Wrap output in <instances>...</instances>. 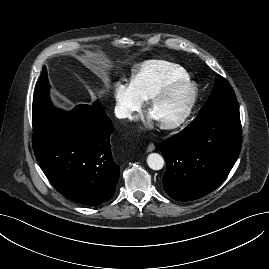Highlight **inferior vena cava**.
Segmentation results:
<instances>
[{"label":"inferior vena cava","mask_w":269,"mask_h":269,"mask_svg":"<svg viewBox=\"0 0 269 269\" xmlns=\"http://www.w3.org/2000/svg\"><path fill=\"white\" fill-rule=\"evenodd\" d=\"M116 116L118 118H127V117L129 118L131 116V114L129 112H122V111H120V112H117L116 113Z\"/></svg>","instance_id":"obj_1"}]
</instances>
